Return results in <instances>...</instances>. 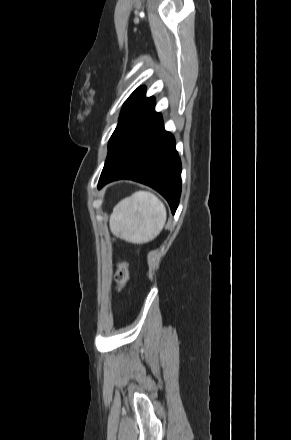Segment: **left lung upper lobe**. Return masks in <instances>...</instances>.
Masks as SVG:
<instances>
[{"label": "left lung upper lobe", "instance_id": "5c2ea615", "mask_svg": "<svg viewBox=\"0 0 291 440\" xmlns=\"http://www.w3.org/2000/svg\"><path fill=\"white\" fill-rule=\"evenodd\" d=\"M154 100V97H145V87L138 88L130 95L124 103L118 125L109 140L108 148L136 117L154 103Z\"/></svg>", "mask_w": 291, "mask_h": 440}]
</instances>
